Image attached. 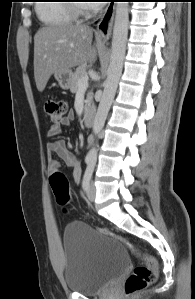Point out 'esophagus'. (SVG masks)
<instances>
[{
  "label": "esophagus",
  "instance_id": "esophagus-1",
  "mask_svg": "<svg viewBox=\"0 0 195 299\" xmlns=\"http://www.w3.org/2000/svg\"><path fill=\"white\" fill-rule=\"evenodd\" d=\"M114 15H115V3L113 1H110L106 6L97 24V30L101 37L103 38L110 37L113 28Z\"/></svg>",
  "mask_w": 195,
  "mask_h": 299
}]
</instances>
